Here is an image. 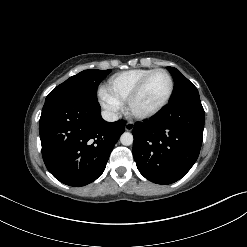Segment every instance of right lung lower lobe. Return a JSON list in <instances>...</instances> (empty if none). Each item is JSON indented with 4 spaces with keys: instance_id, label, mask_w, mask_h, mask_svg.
I'll return each instance as SVG.
<instances>
[{
    "instance_id": "98d812e1",
    "label": "right lung lower lobe",
    "mask_w": 247,
    "mask_h": 247,
    "mask_svg": "<svg viewBox=\"0 0 247 247\" xmlns=\"http://www.w3.org/2000/svg\"><path fill=\"white\" fill-rule=\"evenodd\" d=\"M126 122H106L97 101L61 97L45 101L40 117L42 157L69 186H84L104 171Z\"/></svg>"
}]
</instances>
